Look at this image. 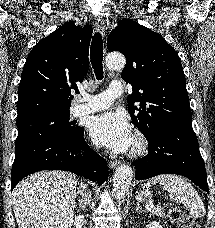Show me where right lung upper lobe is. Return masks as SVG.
Returning a JSON list of instances; mask_svg holds the SVG:
<instances>
[{
    "instance_id": "right-lung-upper-lobe-1",
    "label": "right lung upper lobe",
    "mask_w": 215,
    "mask_h": 228,
    "mask_svg": "<svg viewBox=\"0 0 215 228\" xmlns=\"http://www.w3.org/2000/svg\"><path fill=\"white\" fill-rule=\"evenodd\" d=\"M92 31L89 24L67 22L34 46L21 74L17 122L70 112V91L89 69Z\"/></svg>"
}]
</instances>
